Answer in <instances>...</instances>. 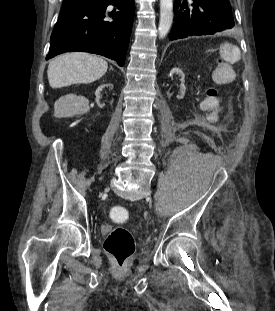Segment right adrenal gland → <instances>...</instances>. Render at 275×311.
Returning <instances> with one entry per match:
<instances>
[{"label": "right adrenal gland", "mask_w": 275, "mask_h": 311, "mask_svg": "<svg viewBox=\"0 0 275 311\" xmlns=\"http://www.w3.org/2000/svg\"><path fill=\"white\" fill-rule=\"evenodd\" d=\"M110 70H113L112 66L110 67Z\"/></svg>", "instance_id": "right-adrenal-gland-1"}]
</instances>
